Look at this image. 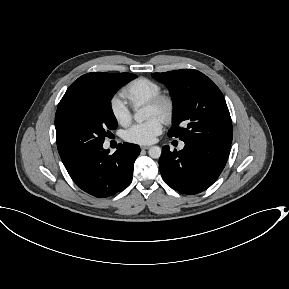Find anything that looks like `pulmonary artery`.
<instances>
[{
	"label": "pulmonary artery",
	"instance_id": "1",
	"mask_svg": "<svg viewBox=\"0 0 289 289\" xmlns=\"http://www.w3.org/2000/svg\"><path fill=\"white\" fill-rule=\"evenodd\" d=\"M184 146V144H181L180 147L182 148Z\"/></svg>",
	"mask_w": 289,
	"mask_h": 289
}]
</instances>
